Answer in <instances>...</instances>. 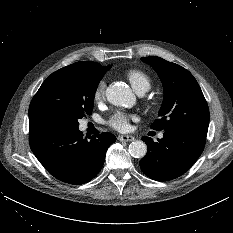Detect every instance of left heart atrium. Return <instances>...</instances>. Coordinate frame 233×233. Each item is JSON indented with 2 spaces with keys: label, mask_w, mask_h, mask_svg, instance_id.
<instances>
[{
  "label": "left heart atrium",
  "mask_w": 233,
  "mask_h": 233,
  "mask_svg": "<svg viewBox=\"0 0 233 233\" xmlns=\"http://www.w3.org/2000/svg\"><path fill=\"white\" fill-rule=\"evenodd\" d=\"M131 119H135V116L132 114H127L121 111L114 113L111 118L109 119V125L120 131L125 132L129 129V121Z\"/></svg>",
  "instance_id": "obj_1"
}]
</instances>
